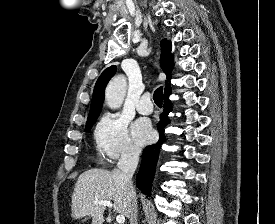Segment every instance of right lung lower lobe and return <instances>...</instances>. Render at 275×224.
<instances>
[{
  "instance_id": "obj_1",
  "label": "right lung lower lobe",
  "mask_w": 275,
  "mask_h": 224,
  "mask_svg": "<svg viewBox=\"0 0 275 224\" xmlns=\"http://www.w3.org/2000/svg\"><path fill=\"white\" fill-rule=\"evenodd\" d=\"M171 94V89L165 91L164 93V111L160 116V122L157 125L160 139L159 141L151 146H147L144 150L141 166L136 178L137 187L147 195H151V187L155 174L159 149L164 140V127L166 125L168 114L171 111V103L169 101V96Z\"/></svg>"
}]
</instances>
